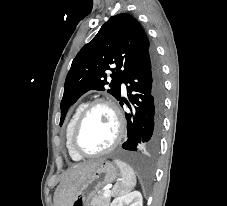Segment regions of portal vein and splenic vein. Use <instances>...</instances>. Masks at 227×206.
<instances>
[{
    "label": "portal vein and splenic vein",
    "mask_w": 227,
    "mask_h": 206,
    "mask_svg": "<svg viewBox=\"0 0 227 206\" xmlns=\"http://www.w3.org/2000/svg\"><path fill=\"white\" fill-rule=\"evenodd\" d=\"M104 196H109V195H111V190L110 189H106L105 191H104V194H103Z\"/></svg>",
    "instance_id": "portal-vein-and-splenic-vein-1"
}]
</instances>
